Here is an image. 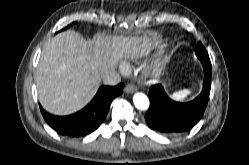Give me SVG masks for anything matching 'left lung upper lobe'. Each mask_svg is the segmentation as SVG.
Wrapping results in <instances>:
<instances>
[{
    "label": "left lung upper lobe",
    "mask_w": 249,
    "mask_h": 165,
    "mask_svg": "<svg viewBox=\"0 0 249 165\" xmlns=\"http://www.w3.org/2000/svg\"><path fill=\"white\" fill-rule=\"evenodd\" d=\"M195 51L197 57L199 58V60L202 62L203 65L204 64L211 65L209 55L201 42L198 43Z\"/></svg>",
    "instance_id": "left-lung-upper-lobe-1"
}]
</instances>
